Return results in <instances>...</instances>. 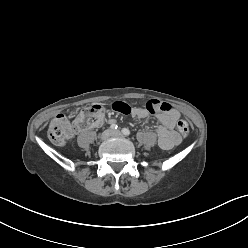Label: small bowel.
Segmentation results:
<instances>
[{
  "label": "small bowel",
  "instance_id": "small-bowel-1",
  "mask_svg": "<svg viewBox=\"0 0 248 248\" xmlns=\"http://www.w3.org/2000/svg\"><path fill=\"white\" fill-rule=\"evenodd\" d=\"M131 115L143 120L147 118L148 112L144 108L135 107L132 109ZM158 118L161 122V125L156 129L158 144L165 150L171 149L180 142L179 135L173 130L175 122L179 118V112L175 109H170L161 113Z\"/></svg>",
  "mask_w": 248,
  "mask_h": 248
}]
</instances>
